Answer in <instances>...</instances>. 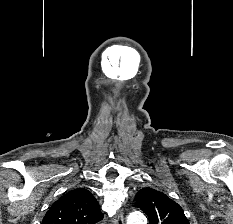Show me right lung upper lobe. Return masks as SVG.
I'll use <instances>...</instances> for the list:
<instances>
[{
    "instance_id": "1",
    "label": "right lung upper lobe",
    "mask_w": 233,
    "mask_h": 224,
    "mask_svg": "<svg viewBox=\"0 0 233 224\" xmlns=\"http://www.w3.org/2000/svg\"><path fill=\"white\" fill-rule=\"evenodd\" d=\"M103 219L99 204L86 189L69 191L48 210L41 224H96Z\"/></svg>"
}]
</instances>
